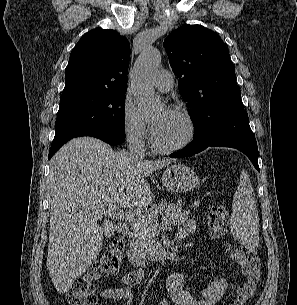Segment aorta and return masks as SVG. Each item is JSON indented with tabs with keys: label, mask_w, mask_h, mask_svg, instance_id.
Instances as JSON below:
<instances>
[{
	"label": "aorta",
	"mask_w": 297,
	"mask_h": 305,
	"mask_svg": "<svg viewBox=\"0 0 297 305\" xmlns=\"http://www.w3.org/2000/svg\"><path fill=\"white\" fill-rule=\"evenodd\" d=\"M161 62V54L154 47H147L138 57L131 74V88L138 109L146 115L155 113L161 102L155 96L153 76Z\"/></svg>",
	"instance_id": "aorta-1"
}]
</instances>
